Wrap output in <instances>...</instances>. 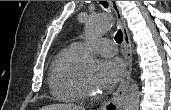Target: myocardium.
I'll return each instance as SVG.
<instances>
[{"mask_svg": "<svg viewBox=\"0 0 171 110\" xmlns=\"http://www.w3.org/2000/svg\"><path fill=\"white\" fill-rule=\"evenodd\" d=\"M75 81H76V87L83 99L95 100V99L99 98V93L96 90L90 88L82 80V78L78 72L76 74Z\"/></svg>", "mask_w": 171, "mask_h": 110, "instance_id": "obj_1", "label": "myocardium"}]
</instances>
